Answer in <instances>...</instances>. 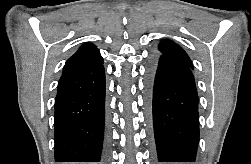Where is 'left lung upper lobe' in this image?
<instances>
[{"instance_id": "5c2ea615", "label": "left lung upper lobe", "mask_w": 251, "mask_h": 164, "mask_svg": "<svg viewBox=\"0 0 251 164\" xmlns=\"http://www.w3.org/2000/svg\"><path fill=\"white\" fill-rule=\"evenodd\" d=\"M156 56L174 59L190 68H193L192 61L186 52L171 40L165 39L160 42Z\"/></svg>"}]
</instances>
